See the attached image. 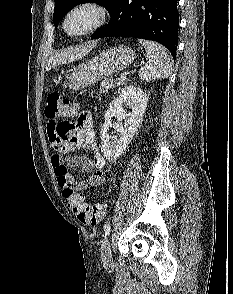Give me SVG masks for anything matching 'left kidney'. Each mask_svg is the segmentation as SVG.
<instances>
[{
    "instance_id": "obj_1",
    "label": "left kidney",
    "mask_w": 233,
    "mask_h": 294,
    "mask_svg": "<svg viewBox=\"0 0 233 294\" xmlns=\"http://www.w3.org/2000/svg\"><path fill=\"white\" fill-rule=\"evenodd\" d=\"M147 103V94L140 87L127 86L109 105L105 113V123L101 129V149L107 160L117 159L127 148L141 123ZM123 105L128 106L131 112L127 113ZM113 117H117L119 122L112 124ZM122 120L124 123L120 122ZM109 127H113L119 134L118 139L110 141Z\"/></svg>"
}]
</instances>
